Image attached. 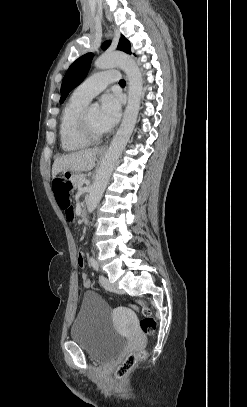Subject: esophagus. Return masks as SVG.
I'll return each instance as SVG.
<instances>
[{
    "label": "esophagus",
    "mask_w": 247,
    "mask_h": 407,
    "mask_svg": "<svg viewBox=\"0 0 247 407\" xmlns=\"http://www.w3.org/2000/svg\"><path fill=\"white\" fill-rule=\"evenodd\" d=\"M126 82H127L126 90L128 91V81H127V77H126ZM107 149H108V145H104V146H101V147H100V150H101V151H106Z\"/></svg>",
    "instance_id": "1"
}]
</instances>
